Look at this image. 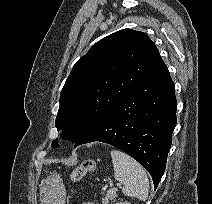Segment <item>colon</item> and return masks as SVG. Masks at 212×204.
Segmentation results:
<instances>
[{
    "label": "colon",
    "mask_w": 212,
    "mask_h": 204,
    "mask_svg": "<svg viewBox=\"0 0 212 204\" xmlns=\"http://www.w3.org/2000/svg\"><path fill=\"white\" fill-rule=\"evenodd\" d=\"M96 168L94 160H84L81 162L71 174V180L73 182L80 181L87 173L93 172Z\"/></svg>",
    "instance_id": "5ec220e1"
}]
</instances>
